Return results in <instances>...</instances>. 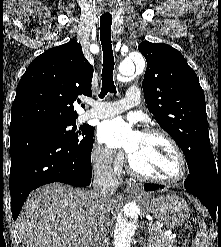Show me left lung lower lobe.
<instances>
[{"mask_svg":"<svg viewBox=\"0 0 221 247\" xmlns=\"http://www.w3.org/2000/svg\"><path fill=\"white\" fill-rule=\"evenodd\" d=\"M184 182L186 190L195 195L208 209L213 221L221 219V163H215L212 150L199 156L189 166ZM145 190L159 189L157 184H145Z\"/></svg>","mask_w":221,"mask_h":247,"instance_id":"obj_1","label":"left lung lower lobe"}]
</instances>
